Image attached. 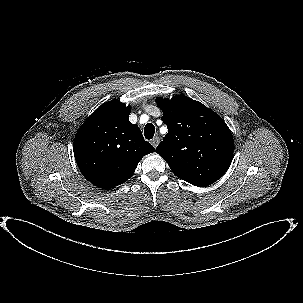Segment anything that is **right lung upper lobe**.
I'll use <instances>...</instances> for the list:
<instances>
[{
    "label": "right lung upper lobe",
    "instance_id": "obj_1",
    "mask_svg": "<svg viewBox=\"0 0 303 303\" xmlns=\"http://www.w3.org/2000/svg\"><path fill=\"white\" fill-rule=\"evenodd\" d=\"M130 106L116 101L101 105L83 123L73 151L83 176L109 190L126 182L143 156L155 151L129 121Z\"/></svg>",
    "mask_w": 303,
    "mask_h": 303
}]
</instances>
